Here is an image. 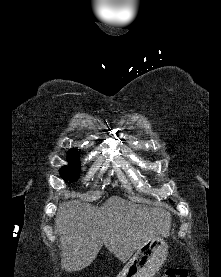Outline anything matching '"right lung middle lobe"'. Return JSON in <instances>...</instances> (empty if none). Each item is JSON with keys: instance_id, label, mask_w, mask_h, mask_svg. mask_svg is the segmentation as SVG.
Instances as JSON below:
<instances>
[{"instance_id": "right-lung-middle-lobe-1", "label": "right lung middle lobe", "mask_w": 221, "mask_h": 277, "mask_svg": "<svg viewBox=\"0 0 221 277\" xmlns=\"http://www.w3.org/2000/svg\"><path fill=\"white\" fill-rule=\"evenodd\" d=\"M68 162L69 166L60 169V175L66 182L71 183L77 181L80 172L79 154L75 149L68 152Z\"/></svg>"}]
</instances>
